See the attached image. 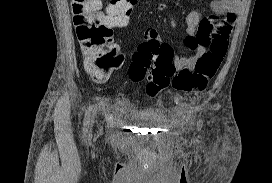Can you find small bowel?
Wrapping results in <instances>:
<instances>
[{"mask_svg":"<svg viewBox=\"0 0 272 183\" xmlns=\"http://www.w3.org/2000/svg\"><path fill=\"white\" fill-rule=\"evenodd\" d=\"M241 7L240 0H213L210 4L213 16H202L197 10H192L185 17L186 33L183 38L185 47L191 49L193 54L187 57L177 58L174 62L177 70L191 68L197 60L206 52L208 42L218 36H228L234 26L235 18ZM164 4L159 5L164 10ZM174 25V19L171 20ZM145 42L160 41L157 30L148 27L143 34ZM95 78L102 82L107 79Z\"/></svg>","mask_w":272,"mask_h":183,"instance_id":"obj_1","label":"small bowel"}]
</instances>
